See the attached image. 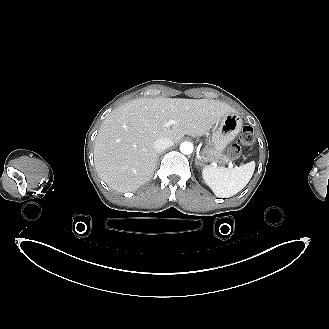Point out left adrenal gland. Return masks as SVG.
<instances>
[{"label": "left adrenal gland", "instance_id": "left-adrenal-gland-1", "mask_svg": "<svg viewBox=\"0 0 329 329\" xmlns=\"http://www.w3.org/2000/svg\"><path fill=\"white\" fill-rule=\"evenodd\" d=\"M195 164H196V166L198 167V161H197V160H195Z\"/></svg>", "mask_w": 329, "mask_h": 329}]
</instances>
